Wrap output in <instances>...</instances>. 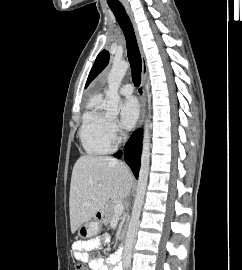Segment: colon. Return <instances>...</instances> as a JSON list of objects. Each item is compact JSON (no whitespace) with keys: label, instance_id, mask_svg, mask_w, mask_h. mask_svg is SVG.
Masks as SVG:
<instances>
[{"label":"colon","instance_id":"1","mask_svg":"<svg viewBox=\"0 0 242 270\" xmlns=\"http://www.w3.org/2000/svg\"><path fill=\"white\" fill-rule=\"evenodd\" d=\"M75 270H89V269L83 265H77Z\"/></svg>","mask_w":242,"mask_h":270}]
</instances>
